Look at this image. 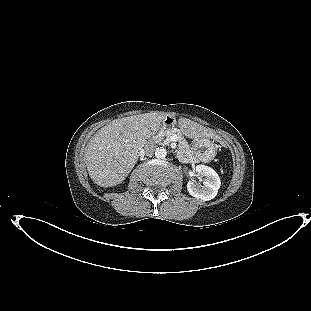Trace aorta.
<instances>
[{"label":"aorta","instance_id":"1","mask_svg":"<svg viewBox=\"0 0 311 311\" xmlns=\"http://www.w3.org/2000/svg\"><path fill=\"white\" fill-rule=\"evenodd\" d=\"M167 155L166 149L164 147H158L155 149V156L160 159H164Z\"/></svg>","mask_w":311,"mask_h":311}]
</instances>
